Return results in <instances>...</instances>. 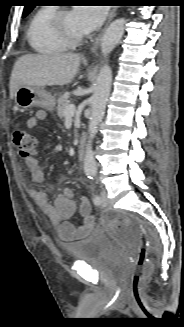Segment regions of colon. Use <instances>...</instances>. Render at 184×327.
I'll list each match as a JSON object with an SVG mask.
<instances>
[{"mask_svg":"<svg viewBox=\"0 0 184 327\" xmlns=\"http://www.w3.org/2000/svg\"><path fill=\"white\" fill-rule=\"evenodd\" d=\"M13 143L18 154L23 158L31 157L38 149L36 137L22 128L14 129ZM102 221L115 239L125 245L136 247L131 277L126 288L133 300L140 302L145 281L151 271L147 250L153 243L154 236L145 223L136 217L120 213H106Z\"/></svg>","mask_w":184,"mask_h":327,"instance_id":"1","label":"colon"}]
</instances>
